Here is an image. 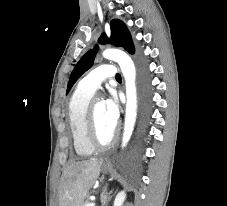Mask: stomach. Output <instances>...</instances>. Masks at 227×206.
Masks as SVG:
<instances>
[{
    "label": "stomach",
    "instance_id": "1",
    "mask_svg": "<svg viewBox=\"0 0 227 206\" xmlns=\"http://www.w3.org/2000/svg\"><path fill=\"white\" fill-rule=\"evenodd\" d=\"M101 169H102V171L104 172V173H108L109 172V166L108 165H106L105 163H103L102 162V164H101Z\"/></svg>",
    "mask_w": 227,
    "mask_h": 206
}]
</instances>
